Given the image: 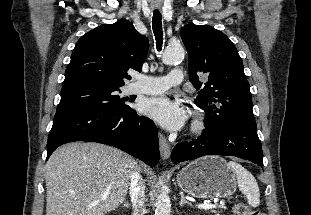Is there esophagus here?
I'll return each mask as SVG.
<instances>
[{
    "mask_svg": "<svg viewBox=\"0 0 311 215\" xmlns=\"http://www.w3.org/2000/svg\"><path fill=\"white\" fill-rule=\"evenodd\" d=\"M159 145L162 159L163 160L168 159L171 154V146L166 137L162 133H159Z\"/></svg>",
    "mask_w": 311,
    "mask_h": 215,
    "instance_id": "obj_1",
    "label": "esophagus"
}]
</instances>
